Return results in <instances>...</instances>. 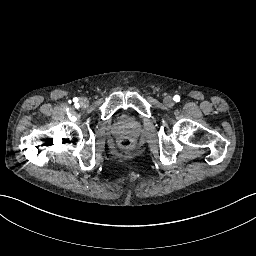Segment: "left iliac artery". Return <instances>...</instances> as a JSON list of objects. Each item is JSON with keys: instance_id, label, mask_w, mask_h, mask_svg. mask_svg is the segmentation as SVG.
I'll return each mask as SVG.
<instances>
[{"instance_id": "obj_1", "label": "left iliac artery", "mask_w": 256, "mask_h": 256, "mask_svg": "<svg viewBox=\"0 0 256 256\" xmlns=\"http://www.w3.org/2000/svg\"><path fill=\"white\" fill-rule=\"evenodd\" d=\"M173 100H174L175 102H179V101H180V96H179V95H175V96L173 97Z\"/></svg>"}]
</instances>
